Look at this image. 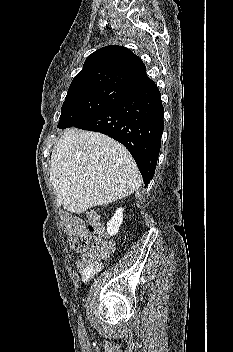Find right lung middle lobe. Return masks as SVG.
Segmentation results:
<instances>
[{
  "label": "right lung middle lobe",
  "instance_id": "obj_1",
  "mask_svg": "<svg viewBox=\"0 0 233 352\" xmlns=\"http://www.w3.org/2000/svg\"><path fill=\"white\" fill-rule=\"evenodd\" d=\"M133 88L106 84L68 91L58 128L77 126L108 107L135 94Z\"/></svg>",
  "mask_w": 233,
  "mask_h": 352
}]
</instances>
